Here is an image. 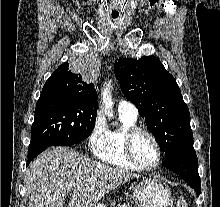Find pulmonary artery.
Segmentation results:
<instances>
[{"label":"pulmonary artery","mask_w":220,"mask_h":207,"mask_svg":"<svg viewBox=\"0 0 220 207\" xmlns=\"http://www.w3.org/2000/svg\"><path fill=\"white\" fill-rule=\"evenodd\" d=\"M118 112L122 114H127L135 118H137L138 115V110L136 106L127 100H121L118 103Z\"/></svg>","instance_id":"1"}]
</instances>
